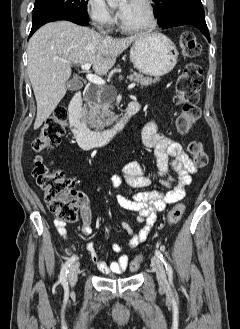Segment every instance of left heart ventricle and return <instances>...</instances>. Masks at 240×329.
<instances>
[{
  "mask_svg": "<svg viewBox=\"0 0 240 329\" xmlns=\"http://www.w3.org/2000/svg\"><path fill=\"white\" fill-rule=\"evenodd\" d=\"M121 6H127V13L122 18L125 25L138 27L148 22L147 9L141 0H130L126 3H122Z\"/></svg>",
  "mask_w": 240,
  "mask_h": 329,
  "instance_id": "b2bd125f",
  "label": "left heart ventricle"
}]
</instances>
